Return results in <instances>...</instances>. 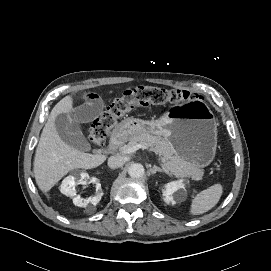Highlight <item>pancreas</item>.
<instances>
[{
    "label": "pancreas",
    "instance_id": "cf45deb5",
    "mask_svg": "<svg viewBox=\"0 0 271 271\" xmlns=\"http://www.w3.org/2000/svg\"><path fill=\"white\" fill-rule=\"evenodd\" d=\"M137 144H144L150 147L157 155H159L166 169L173 175L199 179L203 176V171L199 167L193 166L189 162L183 160L177 154L173 146L161 136L141 133L131 137L128 144L124 145L122 149Z\"/></svg>",
    "mask_w": 271,
    "mask_h": 271
}]
</instances>
